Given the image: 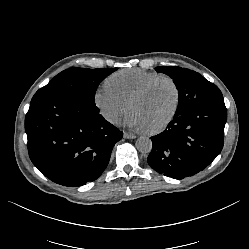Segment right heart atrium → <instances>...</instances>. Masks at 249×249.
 <instances>
[{"mask_svg": "<svg viewBox=\"0 0 249 249\" xmlns=\"http://www.w3.org/2000/svg\"><path fill=\"white\" fill-rule=\"evenodd\" d=\"M94 105L103 119L111 124H115L127 108V102L105 86L95 92Z\"/></svg>", "mask_w": 249, "mask_h": 249, "instance_id": "1", "label": "right heart atrium"}]
</instances>
